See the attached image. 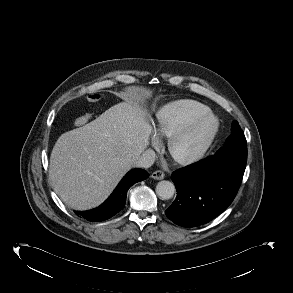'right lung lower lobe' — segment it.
Returning a JSON list of instances; mask_svg holds the SVG:
<instances>
[{"label": "right lung lower lobe", "instance_id": "1", "mask_svg": "<svg viewBox=\"0 0 293 293\" xmlns=\"http://www.w3.org/2000/svg\"><path fill=\"white\" fill-rule=\"evenodd\" d=\"M148 177V172L143 169L135 168L129 171L103 204L92 210L75 211V214L82 216L88 221H104L111 218L123 209L128 189L136 182L145 180Z\"/></svg>", "mask_w": 293, "mask_h": 293}]
</instances>
